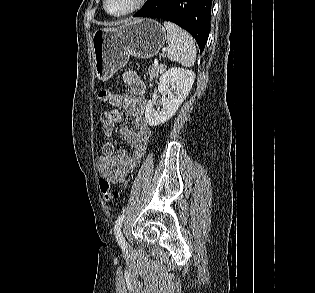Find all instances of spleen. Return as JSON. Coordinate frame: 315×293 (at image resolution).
Wrapping results in <instances>:
<instances>
[{"instance_id":"spleen-1","label":"spleen","mask_w":315,"mask_h":293,"mask_svg":"<svg viewBox=\"0 0 315 293\" xmlns=\"http://www.w3.org/2000/svg\"><path fill=\"white\" fill-rule=\"evenodd\" d=\"M164 27L167 31L168 58L185 67L193 66L197 53L193 38L174 23L165 21Z\"/></svg>"}]
</instances>
